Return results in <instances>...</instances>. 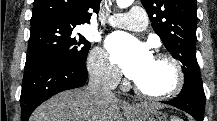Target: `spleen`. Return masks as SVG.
<instances>
[{
  "instance_id": "1",
  "label": "spleen",
  "mask_w": 217,
  "mask_h": 121,
  "mask_svg": "<svg viewBox=\"0 0 217 121\" xmlns=\"http://www.w3.org/2000/svg\"><path fill=\"white\" fill-rule=\"evenodd\" d=\"M171 121H179L178 118L173 117V119H171Z\"/></svg>"
}]
</instances>
